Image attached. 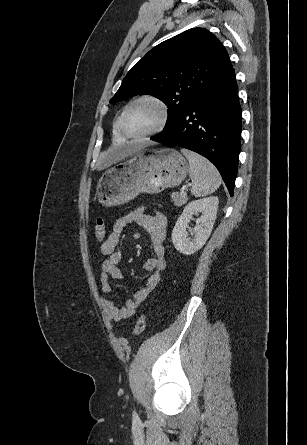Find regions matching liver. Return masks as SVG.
<instances>
[{"label":"liver","instance_id":"liver-1","mask_svg":"<svg viewBox=\"0 0 307 445\" xmlns=\"http://www.w3.org/2000/svg\"><path fill=\"white\" fill-rule=\"evenodd\" d=\"M120 154H118L117 150H105V152H102L101 156L98 158V162L100 164L99 170H102V168H106V166H110V164H115L117 160H119Z\"/></svg>","mask_w":307,"mask_h":445}]
</instances>
